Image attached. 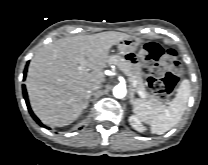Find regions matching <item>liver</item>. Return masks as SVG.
Wrapping results in <instances>:
<instances>
[{
    "label": "liver",
    "mask_w": 208,
    "mask_h": 165,
    "mask_svg": "<svg viewBox=\"0 0 208 165\" xmlns=\"http://www.w3.org/2000/svg\"><path fill=\"white\" fill-rule=\"evenodd\" d=\"M129 38L121 32L62 38L31 60L26 79L31 107L46 125L63 127L85 109L91 84L105 81L109 50Z\"/></svg>",
    "instance_id": "liver-1"
}]
</instances>
